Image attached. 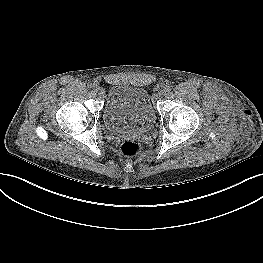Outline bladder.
<instances>
[{
	"instance_id": "31cf9c89",
	"label": "bladder",
	"mask_w": 263,
	"mask_h": 263,
	"mask_svg": "<svg viewBox=\"0 0 263 263\" xmlns=\"http://www.w3.org/2000/svg\"><path fill=\"white\" fill-rule=\"evenodd\" d=\"M155 112L148 94L141 88L110 86L103 110L106 129L113 133L148 132L155 123Z\"/></svg>"
}]
</instances>
